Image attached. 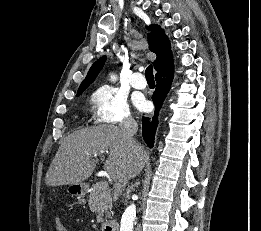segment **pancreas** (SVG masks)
Masks as SVG:
<instances>
[{
	"mask_svg": "<svg viewBox=\"0 0 261 231\" xmlns=\"http://www.w3.org/2000/svg\"><path fill=\"white\" fill-rule=\"evenodd\" d=\"M89 208L97 214V222L103 223L110 217L112 209V196L108 190L100 188V184L93 185L88 196Z\"/></svg>",
	"mask_w": 261,
	"mask_h": 231,
	"instance_id": "obj_1",
	"label": "pancreas"
}]
</instances>
